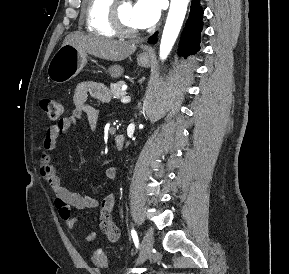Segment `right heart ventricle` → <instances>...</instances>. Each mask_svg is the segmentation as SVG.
<instances>
[{"instance_id": "e07e8e85", "label": "right heart ventricle", "mask_w": 289, "mask_h": 274, "mask_svg": "<svg viewBox=\"0 0 289 274\" xmlns=\"http://www.w3.org/2000/svg\"><path fill=\"white\" fill-rule=\"evenodd\" d=\"M113 3L114 0H84L83 18L89 32L105 37L117 35L110 21Z\"/></svg>"}]
</instances>
